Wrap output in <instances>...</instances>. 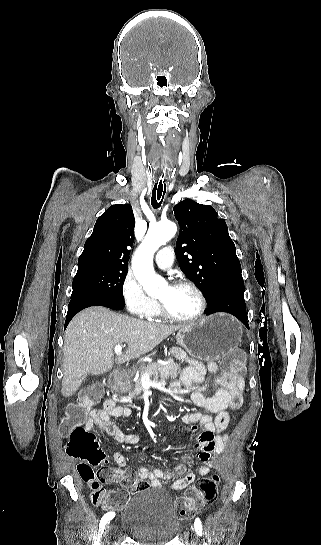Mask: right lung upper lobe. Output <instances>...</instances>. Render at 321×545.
I'll use <instances>...</instances> for the list:
<instances>
[{"mask_svg": "<svg viewBox=\"0 0 321 545\" xmlns=\"http://www.w3.org/2000/svg\"><path fill=\"white\" fill-rule=\"evenodd\" d=\"M135 219L129 204L110 206L96 221L78 259V268L108 266L127 268L134 239Z\"/></svg>", "mask_w": 321, "mask_h": 545, "instance_id": "right-lung-upper-lobe-1", "label": "right lung upper lobe"}]
</instances>
